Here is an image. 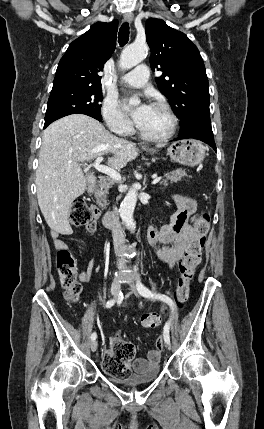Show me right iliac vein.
<instances>
[{
	"mask_svg": "<svg viewBox=\"0 0 264 429\" xmlns=\"http://www.w3.org/2000/svg\"><path fill=\"white\" fill-rule=\"evenodd\" d=\"M119 279H120V277L116 276L113 283H112L110 292H111V295L113 297H115L119 292V289H120ZM97 347H98V342L96 340H93L90 344L91 351L95 352L97 350Z\"/></svg>",
	"mask_w": 264,
	"mask_h": 429,
	"instance_id": "right-iliac-vein-1",
	"label": "right iliac vein"
}]
</instances>
